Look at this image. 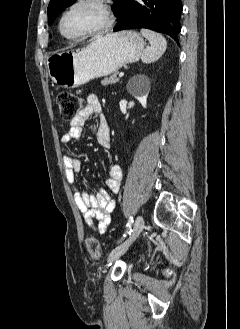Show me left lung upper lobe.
Wrapping results in <instances>:
<instances>
[{"instance_id": "5c2ea615", "label": "left lung upper lobe", "mask_w": 240, "mask_h": 329, "mask_svg": "<svg viewBox=\"0 0 240 329\" xmlns=\"http://www.w3.org/2000/svg\"><path fill=\"white\" fill-rule=\"evenodd\" d=\"M73 1L75 0H51L48 6V23L51 24L57 15ZM125 1L126 0H113L115 7H113L112 11L115 16L119 17L121 15Z\"/></svg>"}]
</instances>
